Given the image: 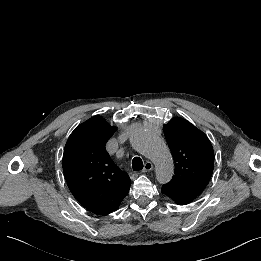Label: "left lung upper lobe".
Listing matches in <instances>:
<instances>
[{
  "mask_svg": "<svg viewBox=\"0 0 261 261\" xmlns=\"http://www.w3.org/2000/svg\"><path fill=\"white\" fill-rule=\"evenodd\" d=\"M164 135L174 158L175 175L163 187L195 199L212 176V145L202 131L179 117L164 126Z\"/></svg>",
  "mask_w": 261,
  "mask_h": 261,
  "instance_id": "5c2ea615",
  "label": "left lung upper lobe"
}]
</instances>
